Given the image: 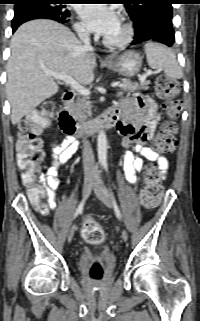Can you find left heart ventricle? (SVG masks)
<instances>
[{"label":"left heart ventricle","instance_id":"b2bd125f","mask_svg":"<svg viewBox=\"0 0 200 321\" xmlns=\"http://www.w3.org/2000/svg\"><path fill=\"white\" fill-rule=\"evenodd\" d=\"M110 41H119L124 37V28L121 23L107 36H105Z\"/></svg>","mask_w":200,"mask_h":321}]
</instances>
